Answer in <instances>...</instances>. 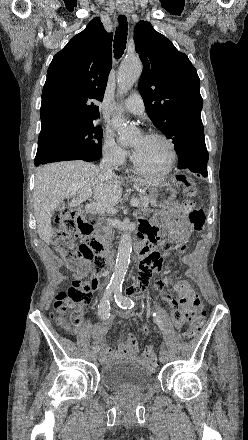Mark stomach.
<instances>
[{"instance_id":"obj_1","label":"stomach","mask_w":248,"mask_h":440,"mask_svg":"<svg viewBox=\"0 0 248 440\" xmlns=\"http://www.w3.org/2000/svg\"><path fill=\"white\" fill-rule=\"evenodd\" d=\"M137 186H141L144 192H148L147 198L155 207H164L173 202L177 196V191L173 185L165 181L146 185L137 184ZM98 230L100 232H107L109 230V225L107 223H100L98 225ZM100 238L104 239L105 235L101 234Z\"/></svg>"}]
</instances>
